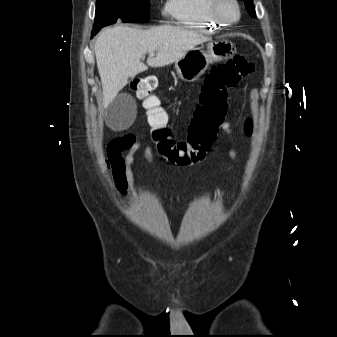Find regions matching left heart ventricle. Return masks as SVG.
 <instances>
[{
	"label": "left heart ventricle",
	"mask_w": 337,
	"mask_h": 337,
	"mask_svg": "<svg viewBox=\"0 0 337 337\" xmlns=\"http://www.w3.org/2000/svg\"><path fill=\"white\" fill-rule=\"evenodd\" d=\"M226 12H227V14H228L229 16H231V17H234L235 14H236L234 7L231 6V5H227V6H226Z\"/></svg>",
	"instance_id": "obj_1"
}]
</instances>
